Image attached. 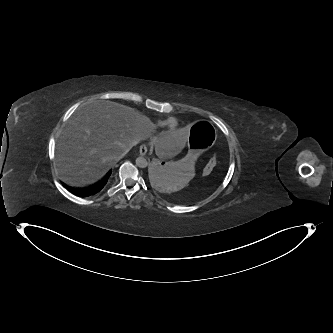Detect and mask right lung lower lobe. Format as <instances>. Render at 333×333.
Listing matches in <instances>:
<instances>
[{"mask_svg":"<svg viewBox=\"0 0 333 333\" xmlns=\"http://www.w3.org/2000/svg\"><path fill=\"white\" fill-rule=\"evenodd\" d=\"M110 175H111V170L106 174V176L99 183H97L94 186L88 187V188L81 189V188L67 187V189L71 193L75 194L76 196H80V197L92 196V195L97 194L98 192H100L104 188V186L106 185Z\"/></svg>","mask_w":333,"mask_h":333,"instance_id":"obj_1","label":"right lung lower lobe"}]
</instances>
